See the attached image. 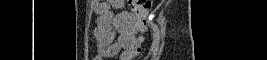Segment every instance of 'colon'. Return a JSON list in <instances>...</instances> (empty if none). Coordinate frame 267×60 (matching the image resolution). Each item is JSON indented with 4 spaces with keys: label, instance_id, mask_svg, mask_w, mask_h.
Returning <instances> with one entry per match:
<instances>
[{
    "label": "colon",
    "instance_id": "obj_1",
    "mask_svg": "<svg viewBox=\"0 0 267 60\" xmlns=\"http://www.w3.org/2000/svg\"><path fill=\"white\" fill-rule=\"evenodd\" d=\"M128 3L132 6L135 13L134 18L136 22L140 25H144V21L151 10V1L149 0H128ZM140 52V51H139ZM138 52V54H139Z\"/></svg>",
    "mask_w": 267,
    "mask_h": 60
}]
</instances>
